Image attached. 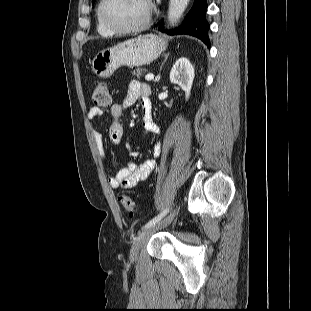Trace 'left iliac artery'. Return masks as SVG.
<instances>
[{
  "instance_id": "obj_1",
  "label": "left iliac artery",
  "mask_w": 311,
  "mask_h": 311,
  "mask_svg": "<svg viewBox=\"0 0 311 311\" xmlns=\"http://www.w3.org/2000/svg\"><path fill=\"white\" fill-rule=\"evenodd\" d=\"M169 212V208H166L163 210L160 214L155 216L153 219H151L145 226L144 229L154 225L155 223L159 222L167 213Z\"/></svg>"
}]
</instances>
